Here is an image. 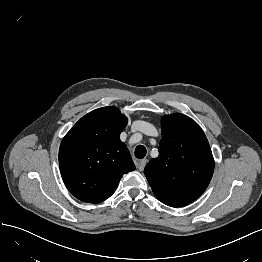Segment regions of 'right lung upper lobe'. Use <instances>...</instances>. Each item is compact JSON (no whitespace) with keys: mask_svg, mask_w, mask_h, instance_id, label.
Listing matches in <instances>:
<instances>
[{"mask_svg":"<svg viewBox=\"0 0 262 262\" xmlns=\"http://www.w3.org/2000/svg\"><path fill=\"white\" fill-rule=\"evenodd\" d=\"M128 119L115 107L82 117L63 138L59 166L63 181L79 200L99 203L116 190L123 174L135 169L120 133Z\"/></svg>","mask_w":262,"mask_h":262,"instance_id":"obj_1","label":"right lung upper lobe"}]
</instances>
